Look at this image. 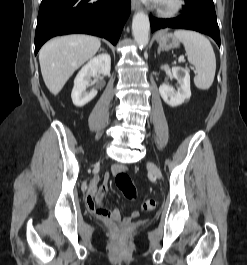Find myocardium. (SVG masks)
<instances>
[{"mask_svg": "<svg viewBox=\"0 0 247 265\" xmlns=\"http://www.w3.org/2000/svg\"><path fill=\"white\" fill-rule=\"evenodd\" d=\"M185 6L186 0H160L158 9L164 17H175L184 10Z\"/></svg>", "mask_w": 247, "mask_h": 265, "instance_id": "obj_1", "label": "myocardium"}]
</instances>
